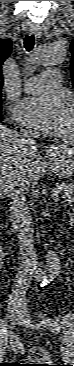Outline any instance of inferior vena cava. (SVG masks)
<instances>
[{
    "mask_svg": "<svg viewBox=\"0 0 74 366\" xmlns=\"http://www.w3.org/2000/svg\"><path fill=\"white\" fill-rule=\"evenodd\" d=\"M35 133L24 130L20 134V144L26 148L36 149L35 147ZM29 192V187L23 182H14L11 186L10 203L12 226L17 232V237L20 245V252L22 256L20 271L12 288V297H24L29 286L28 281L31 271V265L37 263L36 250L34 248V229L32 224V217L29 212L26 195Z\"/></svg>",
    "mask_w": 74,
    "mask_h": 366,
    "instance_id": "obj_1",
    "label": "inferior vena cava"
}]
</instances>
